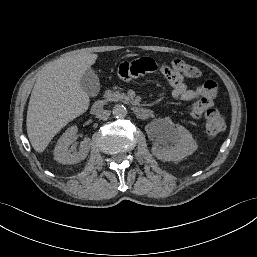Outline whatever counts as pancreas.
Returning a JSON list of instances; mask_svg holds the SVG:
<instances>
[{
	"label": "pancreas",
	"mask_w": 257,
	"mask_h": 257,
	"mask_svg": "<svg viewBox=\"0 0 257 257\" xmlns=\"http://www.w3.org/2000/svg\"><path fill=\"white\" fill-rule=\"evenodd\" d=\"M104 97H105V101L106 102H111V101H125V102H128L129 101V98L124 94V93H121V92H117V91H113V90H106L105 91V94H104Z\"/></svg>",
	"instance_id": "pancreas-1"
}]
</instances>
